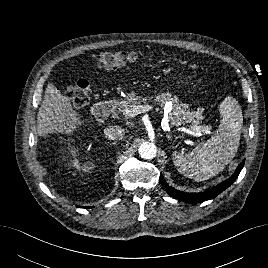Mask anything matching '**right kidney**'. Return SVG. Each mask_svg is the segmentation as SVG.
Listing matches in <instances>:
<instances>
[{
    "label": "right kidney",
    "instance_id": "obj_1",
    "mask_svg": "<svg viewBox=\"0 0 268 268\" xmlns=\"http://www.w3.org/2000/svg\"><path fill=\"white\" fill-rule=\"evenodd\" d=\"M77 151L78 150L76 149L70 151L71 156L74 158L70 164L71 168H76L77 171H82L83 173H89L94 169L95 165L92 162H85L84 164L80 163L79 160L75 158Z\"/></svg>",
    "mask_w": 268,
    "mask_h": 268
}]
</instances>
